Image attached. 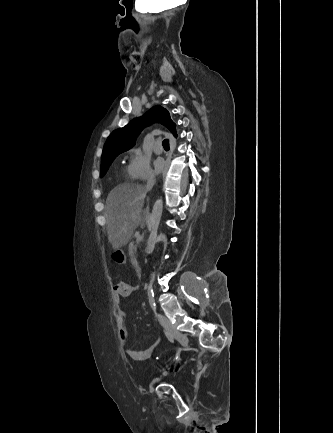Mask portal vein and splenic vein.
Listing matches in <instances>:
<instances>
[{
	"label": "portal vein and splenic vein",
	"instance_id": "obj_1",
	"mask_svg": "<svg viewBox=\"0 0 333 433\" xmlns=\"http://www.w3.org/2000/svg\"><path fill=\"white\" fill-rule=\"evenodd\" d=\"M141 240H142V236L139 235V236L137 237V242H139V241H141Z\"/></svg>",
	"mask_w": 333,
	"mask_h": 433
}]
</instances>
